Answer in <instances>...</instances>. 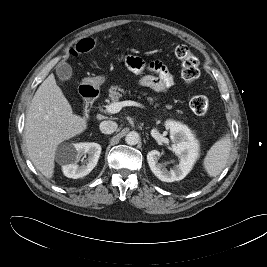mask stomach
Masks as SVG:
<instances>
[{
  "label": "stomach",
  "mask_w": 267,
  "mask_h": 267,
  "mask_svg": "<svg viewBox=\"0 0 267 267\" xmlns=\"http://www.w3.org/2000/svg\"><path fill=\"white\" fill-rule=\"evenodd\" d=\"M106 81V77L103 75L92 77L86 79V83L93 86V87H99Z\"/></svg>",
  "instance_id": "obj_1"
}]
</instances>
